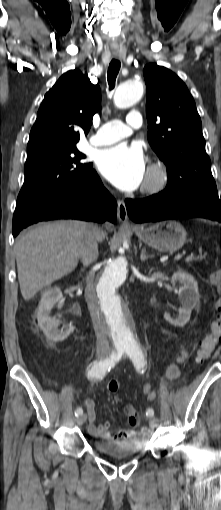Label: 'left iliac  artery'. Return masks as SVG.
<instances>
[{
	"label": "left iliac artery",
	"mask_w": 221,
	"mask_h": 510,
	"mask_svg": "<svg viewBox=\"0 0 221 510\" xmlns=\"http://www.w3.org/2000/svg\"><path fill=\"white\" fill-rule=\"evenodd\" d=\"M125 352L130 357V359L132 360V362L137 370H141L145 367V365H146L145 355H144V352L142 351V349L139 347V345L131 344L125 350ZM146 415L150 416V417L153 416L154 410L152 408H148L146 411Z\"/></svg>",
	"instance_id": "obj_1"
}]
</instances>
